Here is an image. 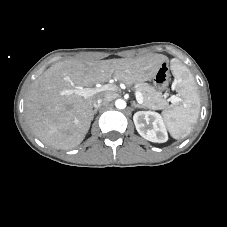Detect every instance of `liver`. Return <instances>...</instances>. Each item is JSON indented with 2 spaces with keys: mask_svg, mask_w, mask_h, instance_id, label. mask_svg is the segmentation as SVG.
Here are the masks:
<instances>
[{
  "mask_svg": "<svg viewBox=\"0 0 227 227\" xmlns=\"http://www.w3.org/2000/svg\"><path fill=\"white\" fill-rule=\"evenodd\" d=\"M167 57L136 59H66L49 67L27 89L24 115L28 128L44 144L61 150L77 147L93 120V103L107 92L84 98L71 92L104 83L111 77L125 84L151 80Z\"/></svg>",
  "mask_w": 227,
  "mask_h": 227,
  "instance_id": "obj_1",
  "label": "liver"
}]
</instances>
